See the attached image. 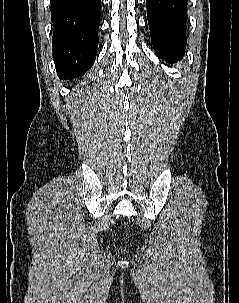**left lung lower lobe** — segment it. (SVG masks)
Here are the masks:
<instances>
[{"label": "left lung lower lobe", "mask_w": 239, "mask_h": 303, "mask_svg": "<svg viewBox=\"0 0 239 303\" xmlns=\"http://www.w3.org/2000/svg\"><path fill=\"white\" fill-rule=\"evenodd\" d=\"M156 55L169 63L183 58L187 39V0H146Z\"/></svg>", "instance_id": "0a47b994"}]
</instances>
